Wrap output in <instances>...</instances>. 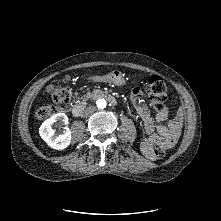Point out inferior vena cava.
Masks as SVG:
<instances>
[{
  "mask_svg": "<svg viewBox=\"0 0 221 221\" xmlns=\"http://www.w3.org/2000/svg\"><path fill=\"white\" fill-rule=\"evenodd\" d=\"M95 111V107L94 106H89L88 108L85 109L84 111V115H90L91 113H93Z\"/></svg>",
  "mask_w": 221,
  "mask_h": 221,
  "instance_id": "obj_1",
  "label": "inferior vena cava"
}]
</instances>
